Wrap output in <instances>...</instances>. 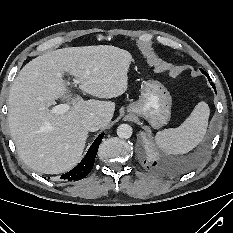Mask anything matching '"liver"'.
Returning a JSON list of instances; mask_svg holds the SVG:
<instances>
[{
    "mask_svg": "<svg viewBox=\"0 0 233 233\" xmlns=\"http://www.w3.org/2000/svg\"><path fill=\"white\" fill-rule=\"evenodd\" d=\"M131 62L128 51L97 45L50 51L27 63L13 81L8 98V125L23 162L45 174L71 170L81 159L88 138L82 120L93 114L106 127L115 103L72 97L64 76L79 80L81 91L110 99L127 90ZM58 99L70 107L60 115L50 109Z\"/></svg>",
    "mask_w": 233,
    "mask_h": 233,
    "instance_id": "obj_1",
    "label": "liver"
}]
</instances>
